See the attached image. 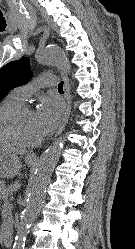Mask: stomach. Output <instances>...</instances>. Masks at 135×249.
<instances>
[{
	"label": "stomach",
	"instance_id": "obj_1",
	"mask_svg": "<svg viewBox=\"0 0 135 249\" xmlns=\"http://www.w3.org/2000/svg\"><path fill=\"white\" fill-rule=\"evenodd\" d=\"M29 165L33 162L27 160ZM21 167L20 160L17 155L0 149V178H10L18 174Z\"/></svg>",
	"mask_w": 135,
	"mask_h": 249
}]
</instances>
